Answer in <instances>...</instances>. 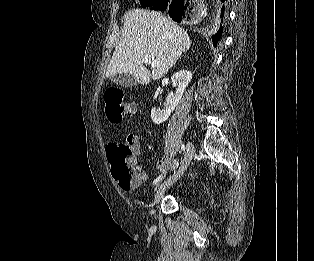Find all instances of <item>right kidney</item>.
I'll list each match as a JSON object with an SVG mask.
<instances>
[{
	"instance_id": "ca27d5eb",
	"label": "right kidney",
	"mask_w": 314,
	"mask_h": 261,
	"mask_svg": "<svg viewBox=\"0 0 314 261\" xmlns=\"http://www.w3.org/2000/svg\"><path fill=\"white\" fill-rule=\"evenodd\" d=\"M192 79V73L187 70H181L175 73L171 77L173 87L176 89L174 93H170L166 99L165 109L159 110L153 108L151 110V120L154 124H160L165 122L170 114L174 111L176 106L179 104L186 87Z\"/></svg>"
}]
</instances>
